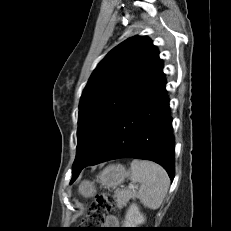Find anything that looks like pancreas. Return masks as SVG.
<instances>
[{
    "instance_id": "cf45deb5",
    "label": "pancreas",
    "mask_w": 231,
    "mask_h": 231,
    "mask_svg": "<svg viewBox=\"0 0 231 231\" xmlns=\"http://www.w3.org/2000/svg\"><path fill=\"white\" fill-rule=\"evenodd\" d=\"M136 196L135 191L132 190H126L118 192L114 195L115 201L117 202V207L121 209L124 205L127 204V202Z\"/></svg>"
}]
</instances>
